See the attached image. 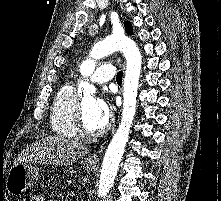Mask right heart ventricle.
I'll return each instance as SVG.
<instances>
[{
    "label": "right heart ventricle",
    "mask_w": 221,
    "mask_h": 201,
    "mask_svg": "<svg viewBox=\"0 0 221 201\" xmlns=\"http://www.w3.org/2000/svg\"><path fill=\"white\" fill-rule=\"evenodd\" d=\"M77 103L74 87L70 84L62 86L56 93L50 112V126L58 136L74 138L78 135L75 126Z\"/></svg>",
    "instance_id": "obj_1"
}]
</instances>
